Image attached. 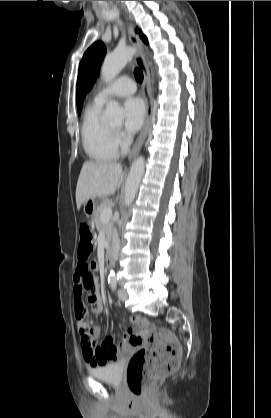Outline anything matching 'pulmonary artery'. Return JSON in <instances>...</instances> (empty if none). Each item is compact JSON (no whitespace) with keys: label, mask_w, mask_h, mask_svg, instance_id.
Returning <instances> with one entry per match:
<instances>
[{"label":"pulmonary artery","mask_w":271,"mask_h":418,"mask_svg":"<svg viewBox=\"0 0 271 418\" xmlns=\"http://www.w3.org/2000/svg\"><path fill=\"white\" fill-rule=\"evenodd\" d=\"M135 83L127 76H120L109 85L101 88L94 97V102L104 104L110 97H125L134 94Z\"/></svg>","instance_id":"e3ab8cb5"}]
</instances>
